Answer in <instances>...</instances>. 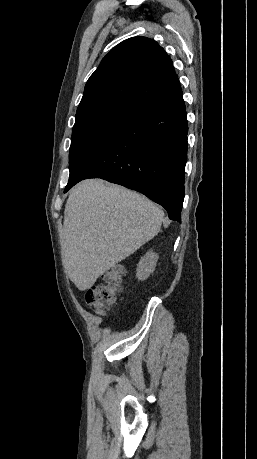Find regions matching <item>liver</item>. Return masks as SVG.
I'll return each mask as SVG.
<instances>
[{
	"label": "liver",
	"instance_id": "6515ba94",
	"mask_svg": "<svg viewBox=\"0 0 257 459\" xmlns=\"http://www.w3.org/2000/svg\"><path fill=\"white\" fill-rule=\"evenodd\" d=\"M164 212L146 197L101 180L73 188L64 210L62 261L84 291L115 264L154 238Z\"/></svg>",
	"mask_w": 257,
	"mask_h": 459
}]
</instances>
